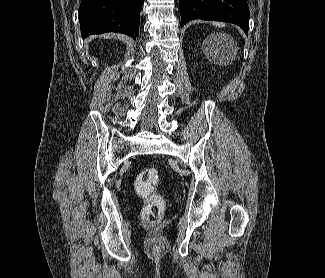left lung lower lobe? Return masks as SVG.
Wrapping results in <instances>:
<instances>
[{"label": "left lung lower lobe", "mask_w": 325, "mask_h": 278, "mask_svg": "<svg viewBox=\"0 0 325 278\" xmlns=\"http://www.w3.org/2000/svg\"><path fill=\"white\" fill-rule=\"evenodd\" d=\"M181 27L194 19L230 22L248 35L249 8L246 0H179Z\"/></svg>", "instance_id": "1"}]
</instances>
